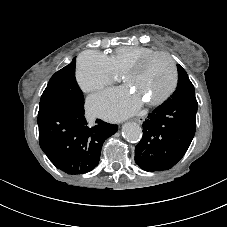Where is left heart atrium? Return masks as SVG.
<instances>
[{"label": "left heart atrium", "instance_id": "obj_1", "mask_svg": "<svg viewBox=\"0 0 227 227\" xmlns=\"http://www.w3.org/2000/svg\"><path fill=\"white\" fill-rule=\"evenodd\" d=\"M87 105L95 115L120 120L135 113L141 106V100L127 88H115L89 98Z\"/></svg>", "mask_w": 227, "mask_h": 227}]
</instances>
